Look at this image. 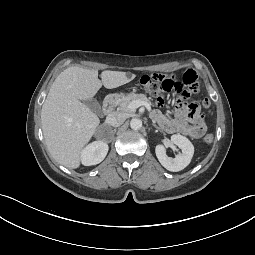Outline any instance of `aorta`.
Instances as JSON below:
<instances>
[{"instance_id":"1","label":"aorta","mask_w":255,"mask_h":255,"mask_svg":"<svg viewBox=\"0 0 255 255\" xmlns=\"http://www.w3.org/2000/svg\"><path fill=\"white\" fill-rule=\"evenodd\" d=\"M130 127L133 130H139L142 127V121L138 118H133L130 121Z\"/></svg>"}]
</instances>
